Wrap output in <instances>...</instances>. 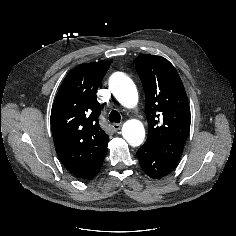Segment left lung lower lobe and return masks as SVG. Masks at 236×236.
Here are the masks:
<instances>
[{
    "instance_id": "1",
    "label": "left lung lower lobe",
    "mask_w": 236,
    "mask_h": 236,
    "mask_svg": "<svg viewBox=\"0 0 236 236\" xmlns=\"http://www.w3.org/2000/svg\"><path fill=\"white\" fill-rule=\"evenodd\" d=\"M137 157L144 172L154 179L170 174L177 166V162L163 157L145 145L139 148Z\"/></svg>"
}]
</instances>
